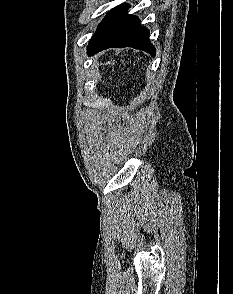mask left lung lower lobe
<instances>
[{
  "mask_svg": "<svg viewBox=\"0 0 233 294\" xmlns=\"http://www.w3.org/2000/svg\"><path fill=\"white\" fill-rule=\"evenodd\" d=\"M128 8L129 4L124 3L106 15L87 46L88 55L111 47H132L156 55L148 29L140 25L137 16L127 14Z\"/></svg>",
  "mask_w": 233,
  "mask_h": 294,
  "instance_id": "left-lung-lower-lobe-1",
  "label": "left lung lower lobe"
}]
</instances>
